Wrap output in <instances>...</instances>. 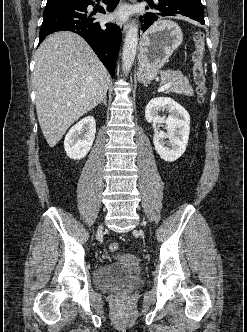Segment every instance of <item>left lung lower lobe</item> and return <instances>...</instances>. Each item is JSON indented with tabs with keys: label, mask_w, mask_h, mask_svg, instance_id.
Segmentation results:
<instances>
[{
	"label": "left lung lower lobe",
	"mask_w": 247,
	"mask_h": 332,
	"mask_svg": "<svg viewBox=\"0 0 247 332\" xmlns=\"http://www.w3.org/2000/svg\"><path fill=\"white\" fill-rule=\"evenodd\" d=\"M146 1L149 4L146 9L150 11L140 16V20L143 22L141 27L143 31L158 18L165 16H184L198 21L202 25L205 24L201 0H157V4H154L152 0Z\"/></svg>",
	"instance_id": "1"
}]
</instances>
